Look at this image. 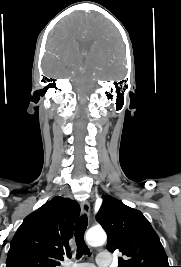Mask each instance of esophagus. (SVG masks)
<instances>
[{
  "label": "esophagus",
  "mask_w": 181,
  "mask_h": 267,
  "mask_svg": "<svg viewBox=\"0 0 181 267\" xmlns=\"http://www.w3.org/2000/svg\"><path fill=\"white\" fill-rule=\"evenodd\" d=\"M81 211H82V213L84 214V215H86V216H90V204H89V202L88 201H83L82 203H81Z\"/></svg>",
  "instance_id": "34e87169"
}]
</instances>
